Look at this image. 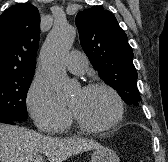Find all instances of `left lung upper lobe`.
I'll return each mask as SVG.
<instances>
[{
	"mask_svg": "<svg viewBox=\"0 0 168 162\" xmlns=\"http://www.w3.org/2000/svg\"><path fill=\"white\" fill-rule=\"evenodd\" d=\"M76 26L82 49L100 78L129 105L138 106L137 71L133 50L115 16L99 6L80 11Z\"/></svg>",
	"mask_w": 168,
	"mask_h": 162,
	"instance_id": "5c2ea615",
	"label": "left lung upper lobe"
}]
</instances>
